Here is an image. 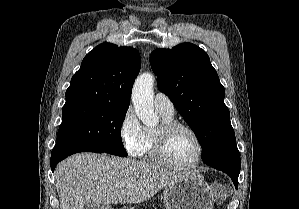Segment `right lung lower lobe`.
<instances>
[{
	"label": "right lung lower lobe",
	"mask_w": 299,
	"mask_h": 209,
	"mask_svg": "<svg viewBox=\"0 0 299 209\" xmlns=\"http://www.w3.org/2000/svg\"><path fill=\"white\" fill-rule=\"evenodd\" d=\"M86 151L95 152V153H106L102 150L95 149V148L78 146V145H69L64 143H56L55 147L52 150L51 160H50L52 172H54V168L56 167V165L64 158L74 153L86 152Z\"/></svg>",
	"instance_id": "obj_1"
}]
</instances>
